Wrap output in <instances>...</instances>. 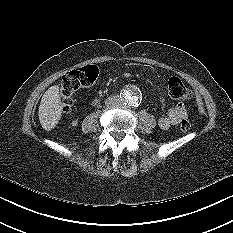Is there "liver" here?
<instances>
[{
	"label": "liver",
	"mask_w": 233,
	"mask_h": 233,
	"mask_svg": "<svg viewBox=\"0 0 233 233\" xmlns=\"http://www.w3.org/2000/svg\"><path fill=\"white\" fill-rule=\"evenodd\" d=\"M63 111V103L59 95V86L48 88L43 94L39 106V120L43 129L50 131L58 124Z\"/></svg>",
	"instance_id": "liver-1"
}]
</instances>
